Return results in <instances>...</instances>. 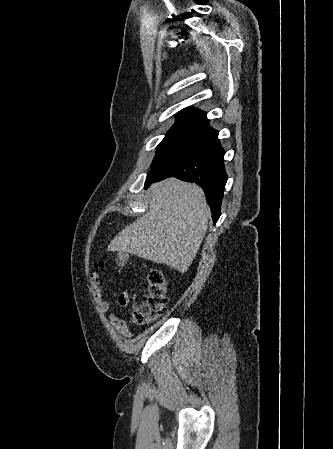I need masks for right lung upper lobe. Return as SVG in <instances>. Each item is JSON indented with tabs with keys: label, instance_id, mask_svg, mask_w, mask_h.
I'll use <instances>...</instances> for the list:
<instances>
[{
	"label": "right lung upper lobe",
	"instance_id": "right-lung-upper-lobe-1",
	"mask_svg": "<svg viewBox=\"0 0 333 449\" xmlns=\"http://www.w3.org/2000/svg\"><path fill=\"white\" fill-rule=\"evenodd\" d=\"M173 126L196 128L201 131L210 128L209 120L206 118V113L192 107H187L179 111L176 115V122Z\"/></svg>",
	"mask_w": 333,
	"mask_h": 449
}]
</instances>
